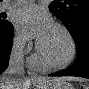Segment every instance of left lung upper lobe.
I'll list each match as a JSON object with an SVG mask.
<instances>
[{
    "instance_id": "obj_1",
    "label": "left lung upper lobe",
    "mask_w": 89,
    "mask_h": 89,
    "mask_svg": "<svg viewBox=\"0 0 89 89\" xmlns=\"http://www.w3.org/2000/svg\"><path fill=\"white\" fill-rule=\"evenodd\" d=\"M66 26L73 39L83 29H89V0H55L49 5Z\"/></svg>"
}]
</instances>
